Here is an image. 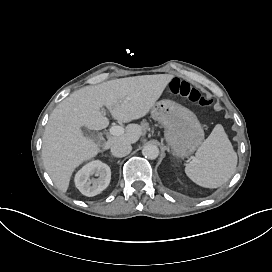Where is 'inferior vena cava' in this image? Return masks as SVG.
I'll list each match as a JSON object with an SVG mask.
<instances>
[{
	"label": "inferior vena cava",
	"mask_w": 272,
	"mask_h": 272,
	"mask_svg": "<svg viewBox=\"0 0 272 272\" xmlns=\"http://www.w3.org/2000/svg\"><path fill=\"white\" fill-rule=\"evenodd\" d=\"M131 150V145L126 142H116L111 146V153L115 157H124L128 155Z\"/></svg>",
	"instance_id": "obj_1"
}]
</instances>
